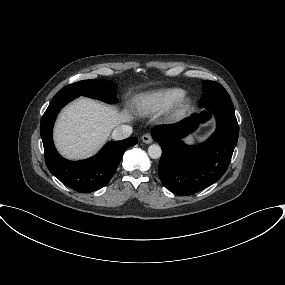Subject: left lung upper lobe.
Listing matches in <instances>:
<instances>
[{"label": "left lung upper lobe", "instance_id": "obj_1", "mask_svg": "<svg viewBox=\"0 0 285 285\" xmlns=\"http://www.w3.org/2000/svg\"><path fill=\"white\" fill-rule=\"evenodd\" d=\"M203 95L199 101V107L223 106L233 108L231 98L222 85L214 81H204L202 84Z\"/></svg>", "mask_w": 285, "mask_h": 285}]
</instances>
